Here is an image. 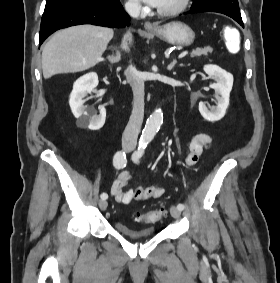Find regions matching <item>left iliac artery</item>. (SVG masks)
I'll use <instances>...</instances> for the list:
<instances>
[{"instance_id": "obj_1", "label": "left iliac artery", "mask_w": 280, "mask_h": 283, "mask_svg": "<svg viewBox=\"0 0 280 283\" xmlns=\"http://www.w3.org/2000/svg\"><path fill=\"white\" fill-rule=\"evenodd\" d=\"M146 147H147V143L139 145L137 151H135V153H133V155H132V160L134 162H139V159L143 156ZM177 208L180 209V210H183L184 209V205L179 203L177 205Z\"/></svg>"}]
</instances>
